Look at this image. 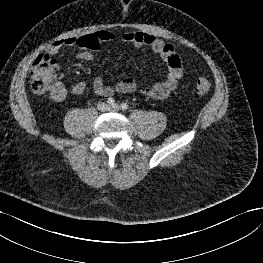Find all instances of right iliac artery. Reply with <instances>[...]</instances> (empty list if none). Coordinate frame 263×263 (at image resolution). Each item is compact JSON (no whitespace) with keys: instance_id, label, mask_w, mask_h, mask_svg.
Instances as JSON below:
<instances>
[{"instance_id":"right-iliac-artery-1","label":"right iliac artery","mask_w":263,"mask_h":263,"mask_svg":"<svg viewBox=\"0 0 263 263\" xmlns=\"http://www.w3.org/2000/svg\"><path fill=\"white\" fill-rule=\"evenodd\" d=\"M114 102H115V100H114V98H112V97H110V98L107 99V103H108L109 105H113Z\"/></svg>"}]
</instances>
